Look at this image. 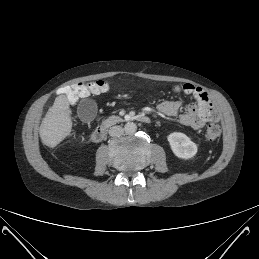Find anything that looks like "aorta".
I'll return each instance as SVG.
<instances>
[{
    "label": "aorta",
    "instance_id": "1",
    "mask_svg": "<svg viewBox=\"0 0 259 259\" xmlns=\"http://www.w3.org/2000/svg\"><path fill=\"white\" fill-rule=\"evenodd\" d=\"M124 131L126 134H134L137 131V125L133 122H127L124 126Z\"/></svg>",
    "mask_w": 259,
    "mask_h": 259
}]
</instances>
